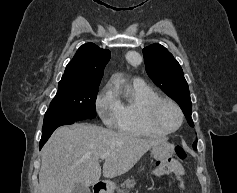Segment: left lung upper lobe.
<instances>
[{
	"mask_svg": "<svg viewBox=\"0 0 237 193\" xmlns=\"http://www.w3.org/2000/svg\"><path fill=\"white\" fill-rule=\"evenodd\" d=\"M146 72L152 81L169 97L175 100L182 109L190 126L192 103L188 84L183 71L173 55L162 45L152 44L143 49ZM193 145H197V141Z\"/></svg>",
	"mask_w": 237,
	"mask_h": 193,
	"instance_id": "5c2ea615",
	"label": "left lung upper lobe"
}]
</instances>
